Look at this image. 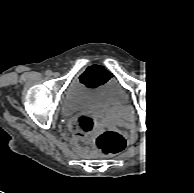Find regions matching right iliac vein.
<instances>
[{
    "label": "right iliac vein",
    "instance_id": "right-iliac-vein-1",
    "mask_svg": "<svg viewBox=\"0 0 194 193\" xmlns=\"http://www.w3.org/2000/svg\"><path fill=\"white\" fill-rule=\"evenodd\" d=\"M53 75H54V77H59L60 76V74L58 72H55Z\"/></svg>",
    "mask_w": 194,
    "mask_h": 193
}]
</instances>
